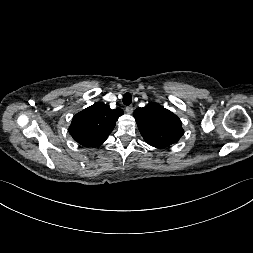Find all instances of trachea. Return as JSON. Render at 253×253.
Instances as JSON below:
<instances>
[{
  "label": "trachea",
  "mask_w": 253,
  "mask_h": 253,
  "mask_svg": "<svg viewBox=\"0 0 253 253\" xmlns=\"http://www.w3.org/2000/svg\"><path fill=\"white\" fill-rule=\"evenodd\" d=\"M132 102V95L130 93H125L123 96V104L130 105Z\"/></svg>",
  "instance_id": "1"
}]
</instances>
